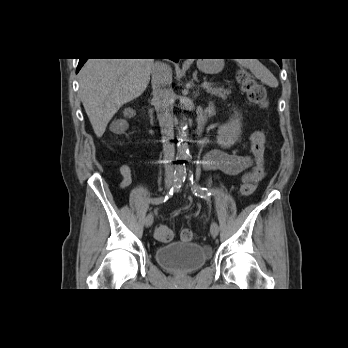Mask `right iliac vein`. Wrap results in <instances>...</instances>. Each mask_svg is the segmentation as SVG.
<instances>
[{"instance_id":"1","label":"right iliac vein","mask_w":348,"mask_h":348,"mask_svg":"<svg viewBox=\"0 0 348 348\" xmlns=\"http://www.w3.org/2000/svg\"><path fill=\"white\" fill-rule=\"evenodd\" d=\"M172 183H173V178L172 177H167L166 180H165V187L167 189H169L170 186L172 185ZM153 220H154L153 214H151V213L148 214L146 219H145V226L146 227H150L153 224Z\"/></svg>"}]
</instances>
